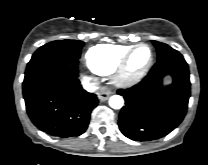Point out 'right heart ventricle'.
Instances as JSON below:
<instances>
[{
    "label": "right heart ventricle",
    "mask_w": 208,
    "mask_h": 165,
    "mask_svg": "<svg viewBox=\"0 0 208 165\" xmlns=\"http://www.w3.org/2000/svg\"><path fill=\"white\" fill-rule=\"evenodd\" d=\"M132 46L118 44H98L86 53L88 67L99 75H109L118 67Z\"/></svg>",
    "instance_id": "obj_1"
}]
</instances>
